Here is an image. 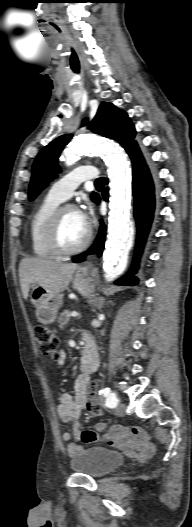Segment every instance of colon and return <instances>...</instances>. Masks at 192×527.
Returning <instances> with one entry per match:
<instances>
[{
    "label": "colon",
    "instance_id": "obj_1",
    "mask_svg": "<svg viewBox=\"0 0 192 527\" xmlns=\"http://www.w3.org/2000/svg\"><path fill=\"white\" fill-rule=\"evenodd\" d=\"M33 333L37 341L40 352L44 355L51 356L55 360L59 359V353H58L59 340L56 334L48 327L41 325V324H37L34 326ZM87 404H88L89 411L93 415L101 414V407H100L98 395L96 393L95 384H93L87 392ZM89 432H92V431H89Z\"/></svg>",
    "mask_w": 192,
    "mask_h": 527
}]
</instances>
